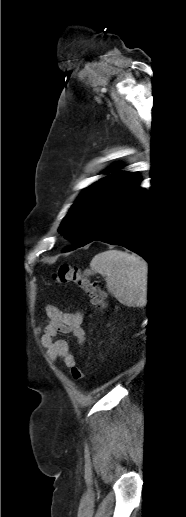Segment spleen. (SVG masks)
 Here are the masks:
<instances>
[{
  "label": "spleen",
  "mask_w": 186,
  "mask_h": 517,
  "mask_svg": "<svg viewBox=\"0 0 186 517\" xmlns=\"http://www.w3.org/2000/svg\"><path fill=\"white\" fill-rule=\"evenodd\" d=\"M85 273H99L106 287L118 301L132 307L147 304L148 264L133 254L108 250L95 255Z\"/></svg>",
  "instance_id": "1"
}]
</instances>
